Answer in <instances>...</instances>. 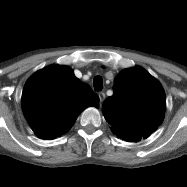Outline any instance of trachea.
Masks as SVG:
<instances>
[{
  "instance_id": "obj_1",
  "label": "trachea",
  "mask_w": 187,
  "mask_h": 187,
  "mask_svg": "<svg viewBox=\"0 0 187 187\" xmlns=\"http://www.w3.org/2000/svg\"><path fill=\"white\" fill-rule=\"evenodd\" d=\"M94 90L101 91L103 85V79L101 76H95L93 80Z\"/></svg>"
}]
</instances>
